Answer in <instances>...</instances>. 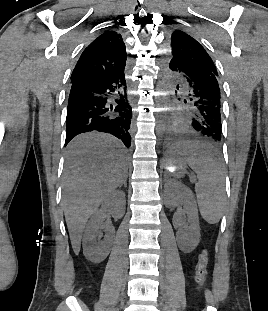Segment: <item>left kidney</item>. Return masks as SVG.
Here are the masks:
<instances>
[{"mask_svg": "<svg viewBox=\"0 0 268 311\" xmlns=\"http://www.w3.org/2000/svg\"><path fill=\"white\" fill-rule=\"evenodd\" d=\"M165 205L168 208H175L183 205L187 214L188 223L183 218L176 217L175 221L182 228L177 233V242L184 253L192 252L200 242V226L197 208L195 206L192 192L182 183L169 180L165 184Z\"/></svg>", "mask_w": 268, "mask_h": 311, "instance_id": "obj_1", "label": "left kidney"}]
</instances>
